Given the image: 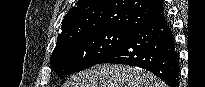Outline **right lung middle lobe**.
Here are the masks:
<instances>
[{"instance_id":"obj_1","label":"right lung middle lobe","mask_w":205,"mask_h":87,"mask_svg":"<svg viewBox=\"0 0 205 87\" xmlns=\"http://www.w3.org/2000/svg\"><path fill=\"white\" fill-rule=\"evenodd\" d=\"M132 32L101 29L57 42L50 60L51 68L60 77L89 68L118 48Z\"/></svg>"}]
</instances>
